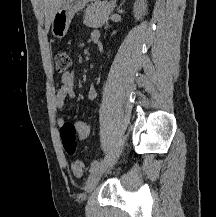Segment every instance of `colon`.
Segmentation results:
<instances>
[{
  "label": "colon",
  "instance_id": "obj_1",
  "mask_svg": "<svg viewBox=\"0 0 216 217\" xmlns=\"http://www.w3.org/2000/svg\"><path fill=\"white\" fill-rule=\"evenodd\" d=\"M53 60L55 64V68L58 72L67 71L72 64L71 56L68 51L58 49L53 53ZM61 139L63 143V147L68 154H73L76 149V131L75 126L69 123H65L61 132ZM72 172L75 176H82L84 174V164L76 160L71 164Z\"/></svg>",
  "mask_w": 216,
  "mask_h": 217
}]
</instances>
